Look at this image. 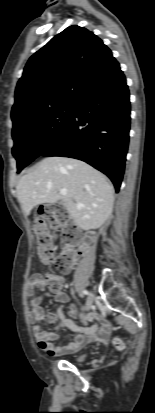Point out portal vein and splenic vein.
I'll use <instances>...</instances> for the list:
<instances>
[{"mask_svg": "<svg viewBox=\"0 0 155 413\" xmlns=\"http://www.w3.org/2000/svg\"><path fill=\"white\" fill-rule=\"evenodd\" d=\"M60 194L63 195V196L67 195V189H65V188L61 189Z\"/></svg>", "mask_w": 155, "mask_h": 413, "instance_id": "18ae733b", "label": "portal vein and splenic vein"}]
</instances>
